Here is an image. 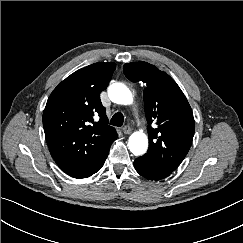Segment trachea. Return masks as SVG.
Returning a JSON list of instances; mask_svg holds the SVG:
<instances>
[{
	"mask_svg": "<svg viewBox=\"0 0 243 243\" xmlns=\"http://www.w3.org/2000/svg\"><path fill=\"white\" fill-rule=\"evenodd\" d=\"M123 122L124 116L121 113H115L111 118L110 124L120 127L123 125Z\"/></svg>",
	"mask_w": 243,
	"mask_h": 243,
	"instance_id": "obj_1",
	"label": "trachea"
}]
</instances>
